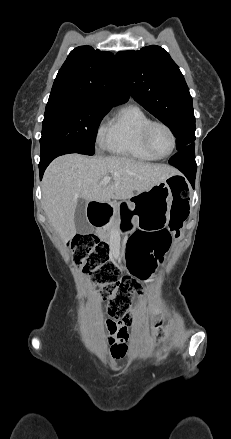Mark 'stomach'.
Listing matches in <instances>:
<instances>
[{
  "instance_id": "1",
  "label": "stomach",
  "mask_w": 231,
  "mask_h": 439,
  "mask_svg": "<svg viewBox=\"0 0 231 439\" xmlns=\"http://www.w3.org/2000/svg\"><path fill=\"white\" fill-rule=\"evenodd\" d=\"M170 178L131 198L128 205L134 216L123 223L124 230L132 231L137 226L144 230H157L165 226L173 200Z\"/></svg>"
}]
</instances>
